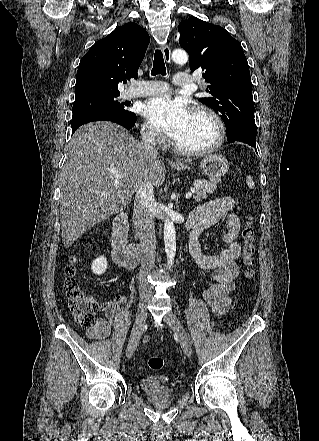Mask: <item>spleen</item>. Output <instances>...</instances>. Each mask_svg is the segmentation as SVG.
Instances as JSON below:
<instances>
[{
    "label": "spleen",
    "instance_id": "3e777b00",
    "mask_svg": "<svg viewBox=\"0 0 319 441\" xmlns=\"http://www.w3.org/2000/svg\"><path fill=\"white\" fill-rule=\"evenodd\" d=\"M247 184L250 188H254L255 187V183L253 181V179L249 176L247 179Z\"/></svg>",
    "mask_w": 319,
    "mask_h": 441
}]
</instances>
